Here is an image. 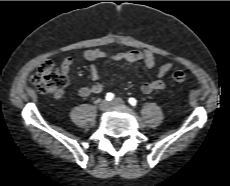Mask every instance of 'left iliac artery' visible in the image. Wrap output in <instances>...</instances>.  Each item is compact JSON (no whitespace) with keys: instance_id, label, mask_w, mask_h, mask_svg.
Instances as JSON below:
<instances>
[{"instance_id":"44dca946","label":"left iliac artery","mask_w":230,"mask_h":186,"mask_svg":"<svg viewBox=\"0 0 230 186\" xmlns=\"http://www.w3.org/2000/svg\"><path fill=\"white\" fill-rule=\"evenodd\" d=\"M129 104L132 105V106H135L137 104V101L135 98H129L128 100Z\"/></svg>"}]
</instances>
